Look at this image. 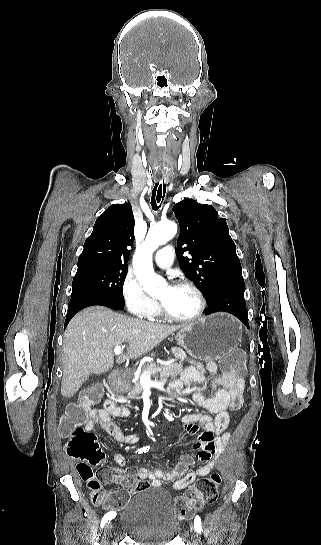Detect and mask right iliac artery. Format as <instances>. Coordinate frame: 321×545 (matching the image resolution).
Here are the masks:
<instances>
[{"mask_svg":"<svg viewBox=\"0 0 321 545\" xmlns=\"http://www.w3.org/2000/svg\"><path fill=\"white\" fill-rule=\"evenodd\" d=\"M150 447H143L141 449L138 450L139 453H143V452H147L149 450ZM116 516V513L114 511H110L108 513H106L103 518H102V521H101V527H103V525L112 520L114 517ZM98 540V538H97ZM94 545H99L98 542H96Z\"/></svg>","mask_w":321,"mask_h":545,"instance_id":"right-iliac-artery-1","label":"right iliac artery"}]
</instances>
